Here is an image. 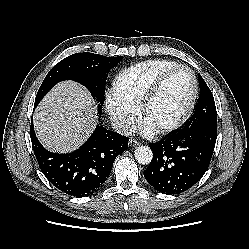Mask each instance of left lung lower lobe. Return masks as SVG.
<instances>
[{"label": "left lung lower lobe", "instance_id": "0a47b994", "mask_svg": "<svg viewBox=\"0 0 249 249\" xmlns=\"http://www.w3.org/2000/svg\"><path fill=\"white\" fill-rule=\"evenodd\" d=\"M217 129L198 127L168 134L150 143L153 159L144 171L147 182L159 192L180 194L205 174L213 155Z\"/></svg>", "mask_w": 249, "mask_h": 249}]
</instances>
